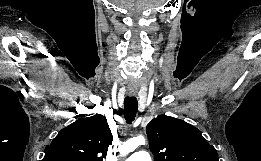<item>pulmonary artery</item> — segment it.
Wrapping results in <instances>:
<instances>
[{"label": "pulmonary artery", "mask_w": 261, "mask_h": 161, "mask_svg": "<svg viewBox=\"0 0 261 161\" xmlns=\"http://www.w3.org/2000/svg\"><path fill=\"white\" fill-rule=\"evenodd\" d=\"M125 161H152V159L146 150H138L128 156Z\"/></svg>", "instance_id": "obj_1"}]
</instances>
